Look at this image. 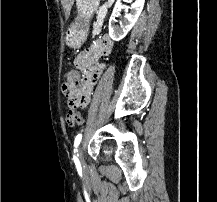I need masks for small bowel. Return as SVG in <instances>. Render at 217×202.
Listing matches in <instances>:
<instances>
[{"mask_svg": "<svg viewBox=\"0 0 217 202\" xmlns=\"http://www.w3.org/2000/svg\"><path fill=\"white\" fill-rule=\"evenodd\" d=\"M114 44L108 35L102 36L91 48L83 50L75 59V66L84 69V85L83 95H92L95 83L103 72V65L97 63L96 60L101 57L108 56L113 50ZM69 112L67 116H70Z\"/></svg>", "mask_w": 217, "mask_h": 202, "instance_id": "c3829d8e", "label": "small bowel"}]
</instances>
